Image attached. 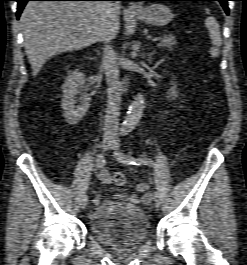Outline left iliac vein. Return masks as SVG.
Returning a JSON list of instances; mask_svg holds the SVG:
<instances>
[{
    "mask_svg": "<svg viewBox=\"0 0 247 265\" xmlns=\"http://www.w3.org/2000/svg\"><path fill=\"white\" fill-rule=\"evenodd\" d=\"M112 149L114 150H118L119 148V144L117 142H114L113 146L111 147ZM154 204L157 208L160 207V204H161V199H160V195L158 192H155L154 194Z\"/></svg>",
    "mask_w": 247,
    "mask_h": 265,
    "instance_id": "left-iliac-vein-1",
    "label": "left iliac vein"
}]
</instances>
